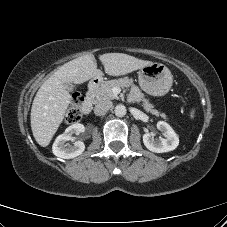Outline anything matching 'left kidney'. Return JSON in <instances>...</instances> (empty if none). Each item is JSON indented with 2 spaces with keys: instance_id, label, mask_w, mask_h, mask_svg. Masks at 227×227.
<instances>
[{
  "instance_id": "5707ae66",
  "label": "left kidney",
  "mask_w": 227,
  "mask_h": 227,
  "mask_svg": "<svg viewBox=\"0 0 227 227\" xmlns=\"http://www.w3.org/2000/svg\"><path fill=\"white\" fill-rule=\"evenodd\" d=\"M157 128L164 133L165 138L154 139L150 133H146L143 135L145 147L155 153H165L177 148L179 138L172 127L165 121H159Z\"/></svg>"
}]
</instances>
